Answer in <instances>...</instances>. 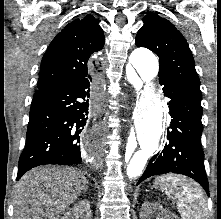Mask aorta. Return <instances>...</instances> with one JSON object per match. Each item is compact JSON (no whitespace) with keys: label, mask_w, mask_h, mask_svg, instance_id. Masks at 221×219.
I'll return each instance as SVG.
<instances>
[{"label":"aorta","mask_w":221,"mask_h":219,"mask_svg":"<svg viewBox=\"0 0 221 219\" xmlns=\"http://www.w3.org/2000/svg\"><path fill=\"white\" fill-rule=\"evenodd\" d=\"M129 62L140 78L150 83L159 70L157 57L148 49H135ZM135 130L139 148L129 144L122 160L121 174L125 181L135 179L142 174L148 158L158 148L163 123L161 97L152 88H146L140 98L135 114Z\"/></svg>","instance_id":"762f6f07"}]
</instances>
